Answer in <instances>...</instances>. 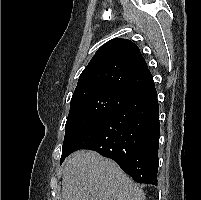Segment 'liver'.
Masks as SVG:
<instances>
[{"instance_id":"6515ba94","label":"liver","mask_w":201,"mask_h":200,"mask_svg":"<svg viewBox=\"0 0 201 200\" xmlns=\"http://www.w3.org/2000/svg\"><path fill=\"white\" fill-rule=\"evenodd\" d=\"M63 200H145V194L119 168L94 151L81 150L66 161Z\"/></svg>"}]
</instances>
